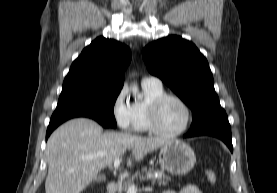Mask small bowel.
<instances>
[{
	"instance_id": "small-bowel-1",
	"label": "small bowel",
	"mask_w": 277,
	"mask_h": 193,
	"mask_svg": "<svg viewBox=\"0 0 277 193\" xmlns=\"http://www.w3.org/2000/svg\"><path fill=\"white\" fill-rule=\"evenodd\" d=\"M162 193H203L196 185L189 184L182 187L180 190H166Z\"/></svg>"
}]
</instances>
